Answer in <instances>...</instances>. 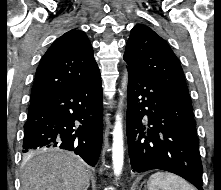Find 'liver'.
Listing matches in <instances>:
<instances>
[{
    "instance_id": "liver-1",
    "label": "liver",
    "mask_w": 221,
    "mask_h": 190,
    "mask_svg": "<svg viewBox=\"0 0 221 190\" xmlns=\"http://www.w3.org/2000/svg\"><path fill=\"white\" fill-rule=\"evenodd\" d=\"M89 180L83 161L72 153L23 157L21 190H84Z\"/></svg>"
}]
</instances>
